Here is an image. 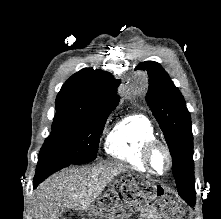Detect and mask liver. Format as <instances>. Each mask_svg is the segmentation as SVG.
<instances>
[{
	"label": "liver",
	"instance_id": "1",
	"mask_svg": "<svg viewBox=\"0 0 221 219\" xmlns=\"http://www.w3.org/2000/svg\"><path fill=\"white\" fill-rule=\"evenodd\" d=\"M127 168L121 163L62 170L45 180L35 193V219H59L65 210L87 212L102 191Z\"/></svg>",
	"mask_w": 221,
	"mask_h": 219
}]
</instances>
